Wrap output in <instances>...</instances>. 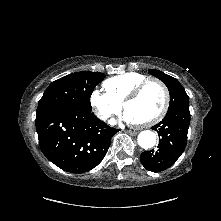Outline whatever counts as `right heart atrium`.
<instances>
[{
    "instance_id": "1",
    "label": "right heart atrium",
    "mask_w": 221,
    "mask_h": 221,
    "mask_svg": "<svg viewBox=\"0 0 221 221\" xmlns=\"http://www.w3.org/2000/svg\"><path fill=\"white\" fill-rule=\"evenodd\" d=\"M90 104L95 115L101 120H107L111 115L118 113L121 109V103L115 101L107 93L99 89L91 93Z\"/></svg>"
}]
</instances>
